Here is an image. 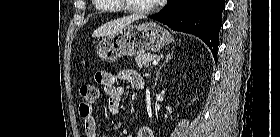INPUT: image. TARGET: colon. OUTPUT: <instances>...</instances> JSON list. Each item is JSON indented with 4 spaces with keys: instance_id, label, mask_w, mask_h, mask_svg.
Instances as JSON below:
<instances>
[{
    "instance_id": "5ec220e1",
    "label": "colon",
    "mask_w": 280,
    "mask_h": 137,
    "mask_svg": "<svg viewBox=\"0 0 280 137\" xmlns=\"http://www.w3.org/2000/svg\"><path fill=\"white\" fill-rule=\"evenodd\" d=\"M80 95L87 102H94L98 96V88L94 84H83L80 87Z\"/></svg>"
}]
</instances>
